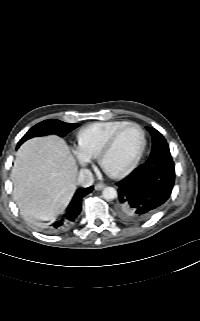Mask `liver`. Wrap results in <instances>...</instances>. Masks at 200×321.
<instances>
[{
    "mask_svg": "<svg viewBox=\"0 0 200 321\" xmlns=\"http://www.w3.org/2000/svg\"><path fill=\"white\" fill-rule=\"evenodd\" d=\"M77 165L65 141L57 136L26 141L11 171L13 198L28 221L61 214L76 189Z\"/></svg>",
    "mask_w": 200,
    "mask_h": 321,
    "instance_id": "1",
    "label": "liver"
}]
</instances>
